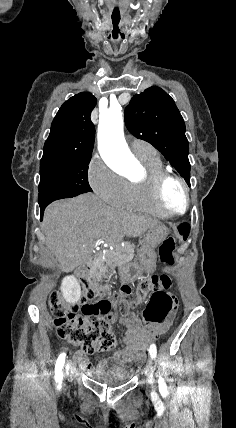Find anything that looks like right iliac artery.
<instances>
[{
	"label": "right iliac artery",
	"instance_id": "82829eb1",
	"mask_svg": "<svg viewBox=\"0 0 236 428\" xmlns=\"http://www.w3.org/2000/svg\"><path fill=\"white\" fill-rule=\"evenodd\" d=\"M65 353H61L56 361L55 364V374H61L62 373V369L65 363Z\"/></svg>",
	"mask_w": 236,
	"mask_h": 428
}]
</instances>
